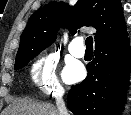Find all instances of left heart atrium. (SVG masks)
I'll return each mask as SVG.
<instances>
[{"instance_id": "1", "label": "left heart atrium", "mask_w": 131, "mask_h": 115, "mask_svg": "<svg viewBox=\"0 0 131 115\" xmlns=\"http://www.w3.org/2000/svg\"><path fill=\"white\" fill-rule=\"evenodd\" d=\"M83 76V69L77 64L70 65L64 72V78L67 82H76Z\"/></svg>"}]
</instances>
